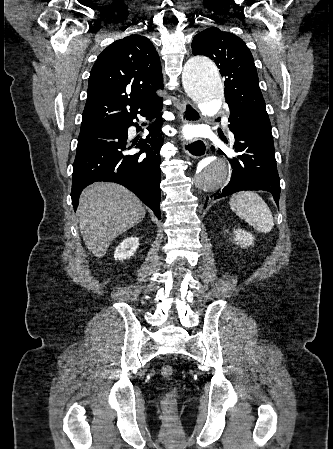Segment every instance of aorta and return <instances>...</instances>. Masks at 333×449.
<instances>
[{
  "label": "aorta",
  "mask_w": 333,
  "mask_h": 449,
  "mask_svg": "<svg viewBox=\"0 0 333 449\" xmlns=\"http://www.w3.org/2000/svg\"><path fill=\"white\" fill-rule=\"evenodd\" d=\"M182 84L187 95L203 109L220 106L224 100L218 68L206 56L197 55L188 59L182 71ZM228 175V161L214 154L194 165L190 182L194 190L213 193L225 185Z\"/></svg>",
  "instance_id": "1"
}]
</instances>
